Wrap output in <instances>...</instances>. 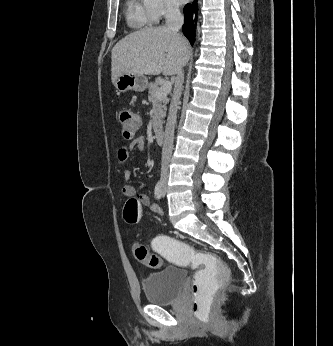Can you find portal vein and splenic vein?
Listing matches in <instances>:
<instances>
[{
  "instance_id": "obj_1",
  "label": "portal vein and splenic vein",
  "mask_w": 333,
  "mask_h": 346,
  "mask_svg": "<svg viewBox=\"0 0 333 346\" xmlns=\"http://www.w3.org/2000/svg\"><path fill=\"white\" fill-rule=\"evenodd\" d=\"M172 89V83L169 81L164 82L159 90L156 92V97L161 98V97H166Z\"/></svg>"
}]
</instances>
